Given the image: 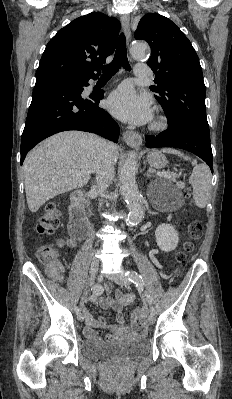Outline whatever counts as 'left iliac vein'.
Segmentation results:
<instances>
[{
	"mask_svg": "<svg viewBox=\"0 0 232 399\" xmlns=\"http://www.w3.org/2000/svg\"><path fill=\"white\" fill-rule=\"evenodd\" d=\"M114 283H118L119 286H132L133 282L130 281L129 278H120L119 274L115 275V278L113 279ZM155 317L153 314H150L149 317L147 318V323L152 326V324L154 323Z\"/></svg>",
	"mask_w": 232,
	"mask_h": 399,
	"instance_id": "obj_1",
	"label": "left iliac vein"
}]
</instances>
